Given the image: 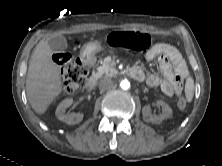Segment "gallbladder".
<instances>
[{
    "label": "gallbladder",
    "mask_w": 222,
    "mask_h": 166,
    "mask_svg": "<svg viewBox=\"0 0 222 166\" xmlns=\"http://www.w3.org/2000/svg\"><path fill=\"white\" fill-rule=\"evenodd\" d=\"M48 44L53 52H63L67 49V40L61 35L51 37Z\"/></svg>",
    "instance_id": "bac80fb5"
}]
</instances>
